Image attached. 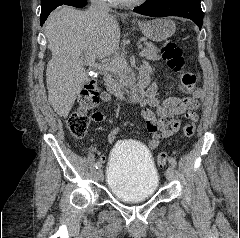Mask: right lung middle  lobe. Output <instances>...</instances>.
Returning <instances> with one entry per match:
<instances>
[{"label":"right lung middle lobe","instance_id":"dd1d6c3e","mask_svg":"<svg viewBox=\"0 0 240 238\" xmlns=\"http://www.w3.org/2000/svg\"><path fill=\"white\" fill-rule=\"evenodd\" d=\"M71 0H41L40 19L47 17L51 11L61 5H70Z\"/></svg>","mask_w":240,"mask_h":238}]
</instances>
